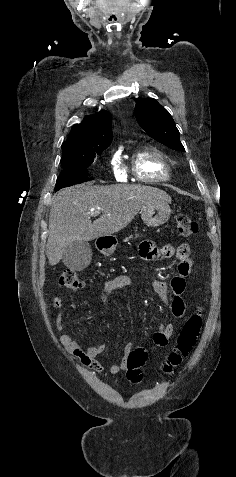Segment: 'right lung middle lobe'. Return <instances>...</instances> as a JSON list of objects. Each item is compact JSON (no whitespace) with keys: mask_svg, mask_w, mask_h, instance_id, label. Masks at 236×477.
Segmentation results:
<instances>
[{"mask_svg":"<svg viewBox=\"0 0 236 477\" xmlns=\"http://www.w3.org/2000/svg\"><path fill=\"white\" fill-rule=\"evenodd\" d=\"M106 148L62 161L63 171L57 178L55 191L91 180V178H88L87 168L93 163L95 157Z\"/></svg>","mask_w":236,"mask_h":477,"instance_id":"right-lung-middle-lobe-1","label":"right lung middle lobe"}]
</instances>
